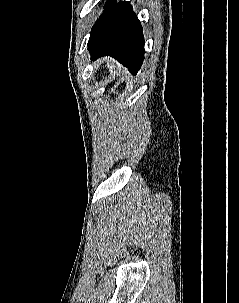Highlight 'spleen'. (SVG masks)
<instances>
[{"mask_svg": "<svg viewBox=\"0 0 239 303\" xmlns=\"http://www.w3.org/2000/svg\"><path fill=\"white\" fill-rule=\"evenodd\" d=\"M107 68L109 69V73L112 77H115V75H119L121 71V67L113 60H107L106 61Z\"/></svg>", "mask_w": 239, "mask_h": 303, "instance_id": "obj_1", "label": "spleen"}]
</instances>
